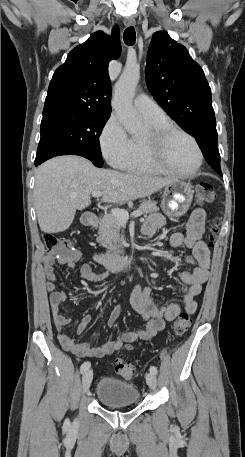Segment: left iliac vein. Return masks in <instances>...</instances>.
I'll return each instance as SVG.
<instances>
[{
  "instance_id": "4c4485c4",
  "label": "left iliac vein",
  "mask_w": 245,
  "mask_h": 457,
  "mask_svg": "<svg viewBox=\"0 0 245 457\" xmlns=\"http://www.w3.org/2000/svg\"><path fill=\"white\" fill-rule=\"evenodd\" d=\"M146 380L148 382V385L152 391H154L157 387V378L156 375L153 373H147L146 374Z\"/></svg>"
}]
</instances>
